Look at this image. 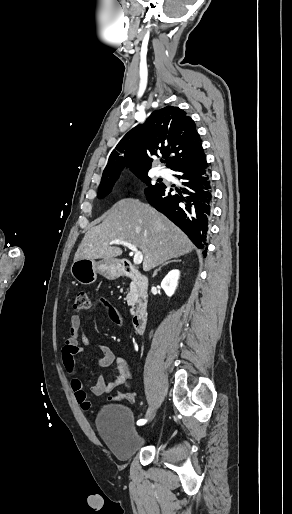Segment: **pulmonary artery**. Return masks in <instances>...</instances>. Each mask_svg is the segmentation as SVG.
<instances>
[{
	"label": "pulmonary artery",
	"instance_id": "pulmonary-artery-1",
	"mask_svg": "<svg viewBox=\"0 0 292 514\" xmlns=\"http://www.w3.org/2000/svg\"><path fill=\"white\" fill-rule=\"evenodd\" d=\"M158 175H159V176H165V175H166V173H165L163 170H160V171H158Z\"/></svg>",
	"mask_w": 292,
	"mask_h": 514
}]
</instances>
